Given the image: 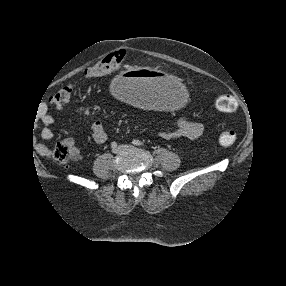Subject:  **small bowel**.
Masks as SVG:
<instances>
[{"label":"small bowel","mask_w":286,"mask_h":286,"mask_svg":"<svg viewBox=\"0 0 286 286\" xmlns=\"http://www.w3.org/2000/svg\"><path fill=\"white\" fill-rule=\"evenodd\" d=\"M41 121L44 124L43 129L40 132V137L44 140H50L53 138L54 131V118L46 110L41 113ZM203 133V125L186 116H180L176 120L175 124L162 129L159 134L164 139H176V138H188L194 139L199 137ZM91 135L93 140L97 144H103L107 141V133L103 123L100 120H95L91 126ZM64 144H66L73 153V159H80V149L77 146L73 138L64 139ZM36 150L41 155H48L49 147L39 143Z\"/></svg>","instance_id":"1"}]
</instances>
